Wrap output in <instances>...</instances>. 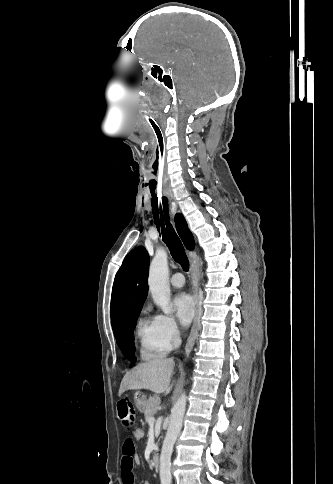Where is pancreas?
Instances as JSON below:
<instances>
[{"label":"pancreas","mask_w":333,"mask_h":484,"mask_svg":"<svg viewBox=\"0 0 333 484\" xmlns=\"http://www.w3.org/2000/svg\"><path fill=\"white\" fill-rule=\"evenodd\" d=\"M160 405V398L157 396L148 399L146 408L144 410L145 421L148 423L149 418L153 417Z\"/></svg>","instance_id":"cf45deb5"}]
</instances>
